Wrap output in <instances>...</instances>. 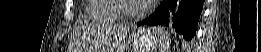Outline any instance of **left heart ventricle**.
<instances>
[{
  "label": "left heart ventricle",
  "instance_id": "obj_1",
  "mask_svg": "<svg viewBox=\"0 0 261 52\" xmlns=\"http://www.w3.org/2000/svg\"><path fill=\"white\" fill-rule=\"evenodd\" d=\"M137 1H125L122 3V10L127 14H133L137 11Z\"/></svg>",
  "mask_w": 261,
  "mask_h": 52
}]
</instances>
